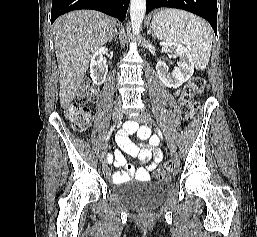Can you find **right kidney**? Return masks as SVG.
<instances>
[{
  "label": "right kidney",
  "instance_id": "1",
  "mask_svg": "<svg viewBox=\"0 0 257 237\" xmlns=\"http://www.w3.org/2000/svg\"><path fill=\"white\" fill-rule=\"evenodd\" d=\"M104 50L105 47H100L90 60V76L97 85L104 83L108 72V66L103 60Z\"/></svg>",
  "mask_w": 257,
  "mask_h": 237
}]
</instances>
